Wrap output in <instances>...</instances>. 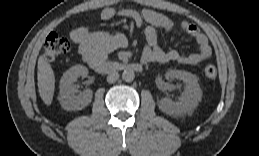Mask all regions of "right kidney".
Listing matches in <instances>:
<instances>
[{"instance_id":"ca27d5eb","label":"right kidney","mask_w":259,"mask_h":156,"mask_svg":"<svg viewBox=\"0 0 259 156\" xmlns=\"http://www.w3.org/2000/svg\"><path fill=\"white\" fill-rule=\"evenodd\" d=\"M88 69L82 65H76L67 70L60 80V103L64 110L75 111L85 108L92 101L93 92L89 89L76 95L74 83L80 76L86 77Z\"/></svg>"}]
</instances>
